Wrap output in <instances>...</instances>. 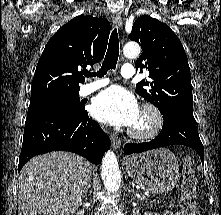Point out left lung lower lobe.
<instances>
[{
    "instance_id": "obj_1",
    "label": "left lung lower lobe",
    "mask_w": 221,
    "mask_h": 215,
    "mask_svg": "<svg viewBox=\"0 0 221 215\" xmlns=\"http://www.w3.org/2000/svg\"><path fill=\"white\" fill-rule=\"evenodd\" d=\"M163 119L162 130L154 140L144 143H128L124 146V153L129 155L178 144L193 148L204 163V149L194 116L176 114Z\"/></svg>"
}]
</instances>
